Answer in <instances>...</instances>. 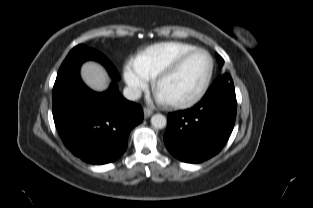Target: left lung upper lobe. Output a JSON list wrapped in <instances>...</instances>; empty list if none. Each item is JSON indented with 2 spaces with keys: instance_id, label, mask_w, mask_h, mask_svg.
Listing matches in <instances>:
<instances>
[{
  "instance_id": "5c2ea615",
  "label": "left lung upper lobe",
  "mask_w": 313,
  "mask_h": 208,
  "mask_svg": "<svg viewBox=\"0 0 313 208\" xmlns=\"http://www.w3.org/2000/svg\"><path fill=\"white\" fill-rule=\"evenodd\" d=\"M216 58H217L219 67L221 68L223 66L224 61H223L222 57L219 56L218 54H216Z\"/></svg>"
}]
</instances>
